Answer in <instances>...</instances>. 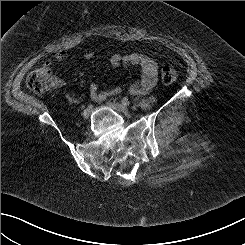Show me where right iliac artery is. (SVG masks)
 <instances>
[{"label": "right iliac artery", "instance_id": "obj_1", "mask_svg": "<svg viewBox=\"0 0 245 245\" xmlns=\"http://www.w3.org/2000/svg\"><path fill=\"white\" fill-rule=\"evenodd\" d=\"M87 108L88 109H92L93 108V105L92 104H89Z\"/></svg>", "mask_w": 245, "mask_h": 245}]
</instances>
